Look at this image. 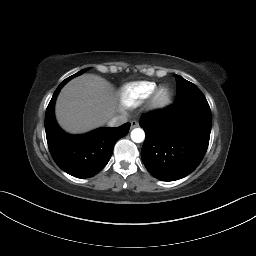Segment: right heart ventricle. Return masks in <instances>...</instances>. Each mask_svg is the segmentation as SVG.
Masks as SVG:
<instances>
[{
  "instance_id": "right-heart-ventricle-1",
  "label": "right heart ventricle",
  "mask_w": 256,
  "mask_h": 256,
  "mask_svg": "<svg viewBox=\"0 0 256 256\" xmlns=\"http://www.w3.org/2000/svg\"><path fill=\"white\" fill-rule=\"evenodd\" d=\"M156 88L157 84L150 81L129 83L121 89V103L125 107H135L149 98Z\"/></svg>"
}]
</instances>
